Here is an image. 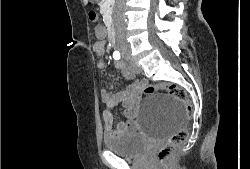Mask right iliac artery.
Returning a JSON list of instances; mask_svg holds the SVG:
<instances>
[{
  "mask_svg": "<svg viewBox=\"0 0 250 169\" xmlns=\"http://www.w3.org/2000/svg\"><path fill=\"white\" fill-rule=\"evenodd\" d=\"M113 58H114L115 60H119V59H120V53H119L118 51H115V52L113 53Z\"/></svg>",
  "mask_w": 250,
  "mask_h": 169,
  "instance_id": "obj_1",
  "label": "right iliac artery"
}]
</instances>
